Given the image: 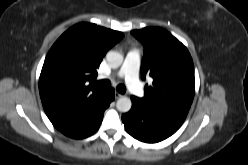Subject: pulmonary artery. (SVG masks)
<instances>
[{
    "instance_id": "e3ab8cb5",
    "label": "pulmonary artery",
    "mask_w": 248,
    "mask_h": 165,
    "mask_svg": "<svg viewBox=\"0 0 248 165\" xmlns=\"http://www.w3.org/2000/svg\"><path fill=\"white\" fill-rule=\"evenodd\" d=\"M141 53L137 49L129 51L125 57L121 69L118 71V77H124L130 91L137 97L144 95V90L140 84L138 73Z\"/></svg>"
}]
</instances>
